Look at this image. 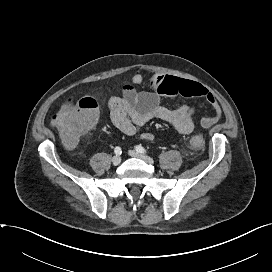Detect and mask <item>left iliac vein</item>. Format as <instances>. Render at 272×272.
<instances>
[{"mask_svg": "<svg viewBox=\"0 0 272 272\" xmlns=\"http://www.w3.org/2000/svg\"><path fill=\"white\" fill-rule=\"evenodd\" d=\"M129 155L135 158H140L142 160H144L145 162L149 163V164H153L154 161L151 157L144 155V154H140L139 152L135 151V150H130L129 151Z\"/></svg>", "mask_w": 272, "mask_h": 272, "instance_id": "left-iliac-vein-1", "label": "left iliac vein"}]
</instances>
